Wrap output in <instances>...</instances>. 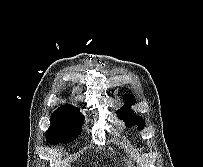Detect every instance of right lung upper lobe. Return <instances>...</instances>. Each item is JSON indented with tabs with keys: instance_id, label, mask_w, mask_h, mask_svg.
<instances>
[{
	"instance_id": "1",
	"label": "right lung upper lobe",
	"mask_w": 203,
	"mask_h": 167,
	"mask_svg": "<svg viewBox=\"0 0 203 167\" xmlns=\"http://www.w3.org/2000/svg\"><path fill=\"white\" fill-rule=\"evenodd\" d=\"M69 108H74V107H72L71 105H64V106L59 107L56 111L66 110Z\"/></svg>"
}]
</instances>
